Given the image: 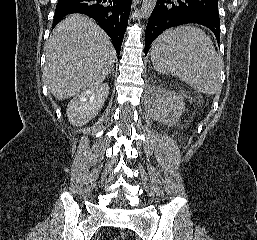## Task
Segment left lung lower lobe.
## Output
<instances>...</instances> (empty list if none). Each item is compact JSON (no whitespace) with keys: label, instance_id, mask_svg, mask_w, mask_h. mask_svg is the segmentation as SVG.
<instances>
[{"label":"left lung lower lobe","instance_id":"left-lung-lower-lobe-1","mask_svg":"<svg viewBox=\"0 0 257 240\" xmlns=\"http://www.w3.org/2000/svg\"><path fill=\"white\" fill-rule=\"evenodd\" d=\"M202 25L220 39L218 0H157L145 32V55L166 29L184 24Z\"/></svg>","mask_w":257,"mask_h":240}]
</instances>
